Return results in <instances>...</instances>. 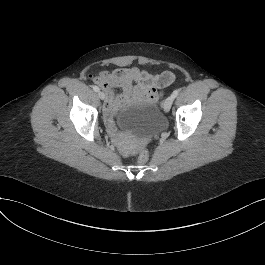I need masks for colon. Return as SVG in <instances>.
<instances>
[{"instance_id": "colon-1", "label": "colon", "mask_w": 265, "mask_h": 265, "mask_svg": "<svg viewBox=\"0 0 265 265\" xmlns=\"http://www.w3.org/2000/svg\"><path fill=\"white\" fill-rule=\"evenodd\" d=\"M149 159V153L146 149H142L138 155L137 163L140 165H144L147 163Z\"/></svg>"}]
</instances>
